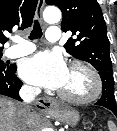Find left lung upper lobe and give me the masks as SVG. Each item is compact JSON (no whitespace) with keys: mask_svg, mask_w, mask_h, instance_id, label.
I'll return each mask as SVG.
<instances>
[{"mask_svg":"<svg viewBox=\"0 0 117 131\" xmlns=\"http://www.w3.org/2000/svg\"><path fill=\"white\" fill-rule=\"evenodd\" d=\"M46 3L60 8L63 14L61 29L64 32L71 31L75 36L64 45L66 51L96 68L102 79L103 90L106 89L110 94L105 95L103 101L116 105L110 45L98 2L96 0H46Z\"/></svg>","mask_w":117,"mask_h":131,"instance_id":"obj_1","label":"left lung upper lobe"}]
</instances>
